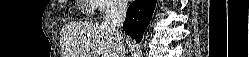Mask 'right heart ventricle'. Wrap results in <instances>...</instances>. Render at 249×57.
Listing matches in <instances>:
<instances>
[{
    "label": "right heart ventricle",
    "instance_id": "e07e8e85",
    "mask_svg": "<svg viewBox=\"0 0 249 57\" xmlns=\"http://www.w3.org/2000/svg\"><path fill=\"white\" fill-rule=\"evenodd\" d=\"M91 5H93L94 6V3H93V1H91ZM91 10V8L89 7V8H87V11H90Z\"/></svg>",
    "mask_w": 249,
    "mask_h": 57
}]
</instances>
